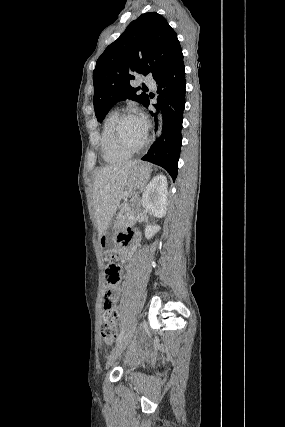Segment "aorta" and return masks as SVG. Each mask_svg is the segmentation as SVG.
Segmentation results:
<instances>
[{
  "label": "aorta",
  "mask_w": 285,
  "mask_h": 427,
  "mask_svg": "<svg viewBox=\"0 0 285 427\" xmlns=\"http://www.w3.org/2000/svg\"><path fill=\"white\" fill-rule=\"evenodd\" d=\"M158 121H159V126L156 134L159 137L162 132V115L161 114L158 115Z\"/></svg>",
  "instance_id": "762f6f07"
}]
</instances>
